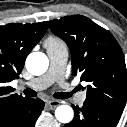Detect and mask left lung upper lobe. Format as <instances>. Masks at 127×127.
Instances as JSON below:
<instances>
[{
    "instance_id": "1",
    "label": "left lung upper lobe",
    "mask_w": 127,
    "mask_h": 127,
    "mask_svg": "<svg viewBox=\"0 0 127 127\" xmlns=\"http://www.w3.org/2000/svg\"><path fill=\"white\" fill-rule=\"evenodd\" d=\"M49 27L68 44L73 75L80 72V80L89 84L85 102L122 112L127 100V70L113 35L81 15L51 20Z\"/></svg>"
}]
</instances>
